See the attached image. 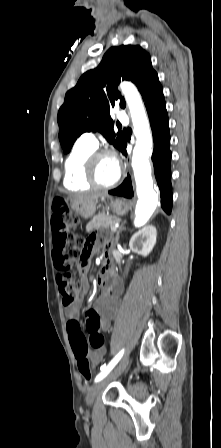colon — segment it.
I'll list each match as a JSON object with an SVG mask.
<instances>
[{
	"instance_id": "5ec220e1",
	"label": "colon",
	"mask_w": 221,
	"mask_h": 448,
	"mask_svg": "<svg viewBox=\"0 0 221 448\" xmlns=\"http://www.w3.org/2000/svg\"><path fill=\"white\" fill-rule=\"evenodd\" d=\"M55 208L62 212L61 218L52 219V226L55 231L53 259L60 274L58 277L59 289L62 296V303L66 308L73 307L77 299L82 295L84 288L80 282L74 280L71 275V263L79 261L86 265L90 258V248L77 232L79 220L76 214L68 211V203L65 199H57ZM85 330L87 339L80 337L81 327L76 320L68 323V332L72 346L75 350L77 368L81 376L89 380L92 376L88 355V344L96 349L105 345V339L100 333V318L94 309H90L85 314Z\"/></svg>"
}]
</instances>
